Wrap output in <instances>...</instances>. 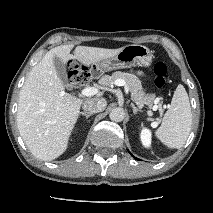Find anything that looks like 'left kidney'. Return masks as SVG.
Wrapping results in <instances>:
<instances>
[{"label":"left kidney","mask_w":213,"mask_h":213,"mask_svg":"<svg viewBox=\"0 0 213 213\" xmlns=\"http://www.w3.org/2000/svg\"><path fill=\"white\" fill-rule=\"evenodd\" d=\"M141 141L144 147L148 148L151 145V131L147 128H143L141 131Z\"/></svg>","instance_id":"left-kidney-1"}]
</instances>
